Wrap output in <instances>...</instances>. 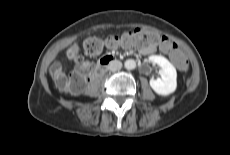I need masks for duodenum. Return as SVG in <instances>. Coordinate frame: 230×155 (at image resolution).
Segmentation results:
<instances>
[{
    "mask_svg": "<svg viewBox=\"0 0 230 155\" xmlns=\"http://www.w3.org/2000/svg\"><path fill=\"white\" fill-rule=\"evenodd\" d=\"M117 62V59L112 55H105L103 56L99 62L97 63L96 67L93 71V76L99 75L105 68Z\"/></svg>",
    "mask_w": 230,
    "mask_h": 155,
    "instance_id": "obj_1",
    "label": "duodenum"
}]
</instances>
